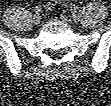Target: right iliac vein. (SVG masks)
I'll list each match as a JSON object with an SVG mask.
<instances>
[{
    "mask_svg": "<svg viewBox=\"0 0 111 106\" xmlns=\"http://www.w3.org/2000/svg\"><path fill=\"white\" fill-rule=\"evenodd\" d=\"M32 21L34 24H39L41 21V16L40 14L36 13L34 14V16L32 17Z\"/></svg>",
    "mask_w": 111,
    "mask_h": 106,
    "instance_id": "63e3f726",
    "label": "right iliac vein"
}]
</instances>
